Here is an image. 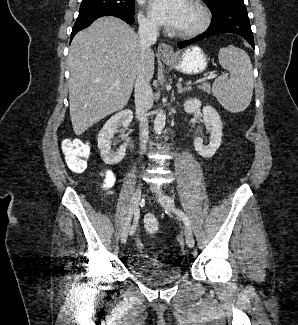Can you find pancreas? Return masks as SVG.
Returning <instances> with one entry per match:
<instances>
[{
  "instance_id": "pancreas-1",
  "label": "pancreas",
  "mask_w": 298,
  "mask_h": 325,
  "mask_svg": "<svg viewBox=\"0 0 298 325\" xmlns=\"http://www.w3.org/2000/svg\"><path fill=\"white\" fill-rule=\"evenodd\" d=\"M198 88H201V90H204V92H207V94H211L212 92L210 82H202V84H199Z\"/></svg>"
}]
</instances>
